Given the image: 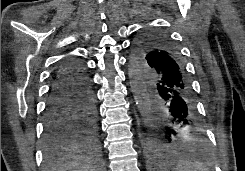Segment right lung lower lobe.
<instances>
[{
  "label": "right lung lower lobe",
  "instance_id": "98d812e1",
  "mask_svg": "<svg viewBox=\"0 0 245 171\" xmlns=\"http://www.w3.org/2000/svg\"><path fill=\"white\" fill-rule=\"evenodd\" d=\"M44 130L49 158L74 146L91 147L97 143L94 91L85 65L76 58L64 59L53 75Z\"/></svg>",
  "mask_w": 245,
  "mask_h": 171
}]
</instances>
